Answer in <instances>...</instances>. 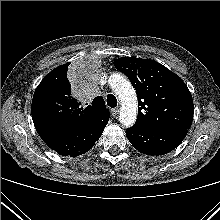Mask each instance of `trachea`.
<instances>
[{"mask_svg":"<svg viewBox=\"0 0 220 220\" xmlns=\"http://www.w3.org/2000/svg\"><path fill=\"white\" fill-rule=\"evenodd\" d=\"M107 104L109 107H112V108L117 106V99L113 94L107 95Z\"/></svg>","mask_w":220,"mask_h":220,"instance_id":"obj_1","label":"trachea"}]
</instances>
